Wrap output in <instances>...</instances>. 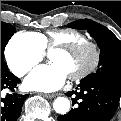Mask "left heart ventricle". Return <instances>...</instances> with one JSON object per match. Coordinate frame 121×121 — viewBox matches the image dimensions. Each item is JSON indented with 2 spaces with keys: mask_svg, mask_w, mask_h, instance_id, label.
<instances>
[{
  "mask_svg": "<svg viewBox=\"0 0 121 121\" xmlns=\"http://www.w3.org/2000/svg\"><path fill=\"white\" fill-rule=\"evenodd\" d=\"M52 64L58 66L67 77L85 68L93 59L91 51H85L80 56H71L61 51H51L48 55Z\"/></svg>",
  "mask_w": 121,
  "mask_h": 121,
  "instance_id": "b2bd125f",
  "label": "left heart ventricle"
}]
</instances>
